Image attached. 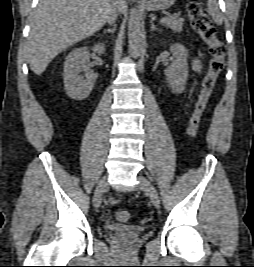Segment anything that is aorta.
<instances>
[{
	"label": "aorta",
	"instance_id": "obj_1",
	"mask_svg": "<svg viewBox=\"0 0 254 267\" xmlns=\"http://www.w3.org/2000/svg\"><path fill=\"white\" fill-rule=\"evenodd\" d=\"M128 43L133 58L140 56L143 49L141 20L136 8L131 9L128 20Z\"/></svg>",
	"mask_w": 254,
	"mask_h": 267
}]
</instances>
